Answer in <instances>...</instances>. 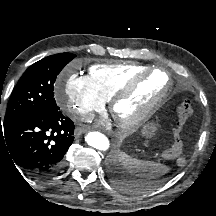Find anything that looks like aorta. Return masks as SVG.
Wrapping results in <instances>:
<instances>
[{
	"label": "aorta",
	"instance_id": "aorta-1",
	"mask_svg": "<svg viewBox=\"0 0 216 216\" xmlns=\"http://www.w3.org/2000/svg\"><path fill=\"white\" fill-rule=\"evenodd\" d=\"M85 141L89 146L100 151H106L110 147L109 139L100 132H89L85 137Z\"/></svg>",
	"mask_w": 216,
	"mask_h": 216
}]
</instances>
